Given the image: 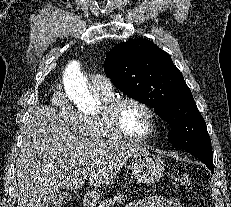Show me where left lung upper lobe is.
<instances>
[{
  "label": "left lung upper lobe",
  "instance_id": "5c2ea615",
  "mask_svg": "<svg viewBox=\"0 0 231 207\" xmlns=\"http://www.w3.org/2000/svg\"><path fill=\"white\" fill-rule=\"evenodd\" d=\"M105 73L124 94L152 107L171 127L170 143L213 156L206 123L171 56L146 39L120 43L105 58Z\"/></svg>",
  "mask_w": 231,
  "mask_h": 207
}]
</instances>
